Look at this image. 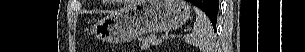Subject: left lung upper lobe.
<instances>
[{
  "mask_svg": "<svg viewBox=\"0 0 305 52\" xmlns=\"http://www.w3.org/2000/svg\"><path fill=\"white\" fill-rule=\"evenodd\" d=\"M205 13L208 15V17L210 18L212 24H215L217 22V13H218V9H206Z\"/></svg>",
  "mask_w": 305,
  "mask_h": 52,
  "instance_id": "obj_1",
  "label": "left lung upper lobe"
}]
</instances>
